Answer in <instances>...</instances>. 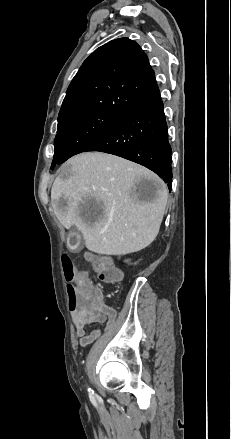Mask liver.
<instances>
[{"mask_svg": "<svg viewBox=\"0 0 231 439\" xmlns=\"http://www.w3.org/2000/svg\"><path fill=\"white\" fill-rule=\"evenodd\" d=\"M141 178L153 183L148 196L141 193ZM167 198V186L154 172L102 152L70 158L51 189V205L60 223L66 229L76 226L88 250L106 255L149 246L159 232Z\"/></svg>", "mask_w": 231, "mask_h": 439, "instance_id": "liver-1", "label": "liver"}]
</instances>
